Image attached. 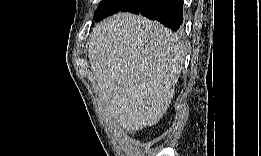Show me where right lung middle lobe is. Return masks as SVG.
Wrapping results in <instances>:
<instances>
[{
    "label": "right lung middle lobe",
    "mask_w": 261,
    "mask_h": 156,
    "mask_svg": "<svg viewBox=\"0 0 261 156\" xmlns=\"http://www.w3.org/2000/svg\"><path fill=\"white\" fill-rule=\"evenodd\" d=\"M132 0H103L95 13L94 20L96 22L104 19L105 17L112 15L115 12L120 11Z\"/></svg>",
    "instance_id": "dd1d6c3e"
}]
</instances>
